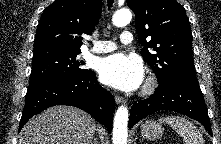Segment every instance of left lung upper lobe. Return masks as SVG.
<instances>
[{"label":"left lung upper lobe","mask_w":221,"mask_h":144,"mask_svg":"<svg viewBox=\"0 0 221 144\" xmlns=\"http://www.w3.org/2000/svg\"><path fill=\"white\" fill-rule=\"evenodd\" d=\"M134 11L141 55L158 83L183 80L198 84L192 57V32L176 0H127Z\"/></svg>","instance_id":"obj_1"}]
</instances>
